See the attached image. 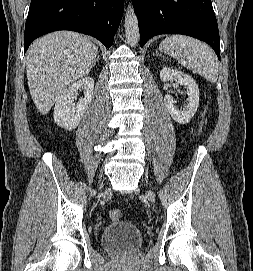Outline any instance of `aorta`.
I'll return each instance as SVG.
<instances>
[{
    "mask_svg": "<svg viewBox=\"0 0 253 271\" xmlns=\"http://www.w3.org/2000/svg\"><path fill=\"white\" fill-rule=\"evenodd\" d=\"M124 27L128 44L135 47L139 43L140 34L137 16L130 4L125 10Z\"/></svg>",
    "mask_w": 253,
    "mask_h": 271,
    "instance_id": "1",
    "label": "aorta"
}]
</instances>
